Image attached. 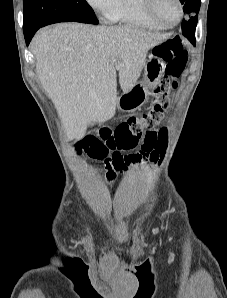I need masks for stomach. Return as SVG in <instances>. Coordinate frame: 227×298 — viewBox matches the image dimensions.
Masks as SVG:
<instances>
[{"mask_svg": "<svg viewBox=\"0 0 227 298\" xmlns=\"http://www.w3.org/2000/svg\"><path fill=\"white\" fill-rule=\"evenodd\" d=\"M164 72L162 60L150 54L144 65L143 80L136 82L126 93L117 99V108L122 112L132 113L139 109L147 100L150 90L157 86Z\"/></svg>", "mask_w": 227, "mask_h": 298, "instance_id": "1", "label": "stomach"}]
</instances>
